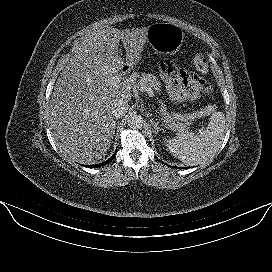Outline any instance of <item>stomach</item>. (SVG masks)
<instances>
[{
    "label": "stomach",
    "instance_id": "1",
    "mask_svg": "<svg viewBox=\"0 0 272 272\" xmlns=\"http://www.w3.org/2000/svg\"><path fill=\"white\" fill-rule=\"evenodd\" d=\"M184 39L181 28L171 23H154L148 27L147 43L160 55L179 51Z\"/></svg>",
    "mask_w": 272,
    "mask_h": 272
}]
</instances>
